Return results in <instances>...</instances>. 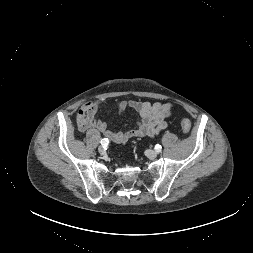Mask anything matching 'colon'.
<instances>
[{"mask_svg": "<svg viewBox=\"0 0 253 253\" xmlns=\"http://www.w3.org/2000/svg\"><path fill=\"white\" fill-rule=\"evenodd\" d=\"M181 127L184 133H189L191 130V122L187 118L181 120Z\"/></svg>", "mask_w": 253, "mask_h": 253, "instance_id": "colon-1", "label": "colon"}]
</instances>
